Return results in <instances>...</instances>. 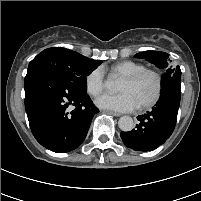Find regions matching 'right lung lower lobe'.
<instances>
[{
  "mask_svg": "<svg viewBox=\"0 0 201 201\" xmlns=\"http://www.w3.org/2000/svg\"><path fill=\"white\" fill-rule=\"evenodd\" d=\"M24 87L25 109L36 140L56 153L76 149L99 112L90 97L46 68L27 72Z\"/></svg>",
  "mask_w": 201,
  "mask_h": 201,
  "instance_id": "98d812e1",
  "label": "right lung lower lobe"
}]
</instances>
